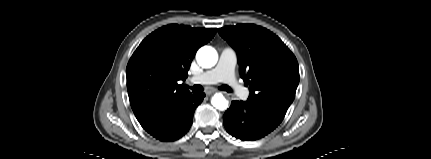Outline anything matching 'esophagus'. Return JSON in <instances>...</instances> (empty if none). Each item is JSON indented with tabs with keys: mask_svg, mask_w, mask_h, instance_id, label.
Instances as JSON below:
<instances>
[{
	"mask_svg": "<svg viewBox=\"0 0 431 159\" xmlns=\"http://www.w3.org/2000/svg\"><path fill=\"white\" fill-rule=\"evenodd\" d=\"M216 92V90L215 89H209V90H207L206 91V94L207 95H211V94H213V93H215Z\"/></svg>",
	"mask_w": 431,
	"mask_h": 159,
	"instance_id": "34e87169",
	"label": "esophagus"
}]
</instances>
